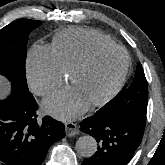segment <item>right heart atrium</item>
<instances>
[{"label":"right heart atrium","mask_w":165,"mask_h":165,"mask_svg":"<svg viewBox=\"0 0 165 165\" xmlns=\"http://www.w3.org/2000/svg\"><path fill=\"white\" fill-rule=\"evenodd\" d=\"M26 72L30 88L40 96L50 93L66 80L65 71L50 46L35 45L31 48Z\"/></svg>","instance_id":"right-heart-atrium-1"}]
</instances>
